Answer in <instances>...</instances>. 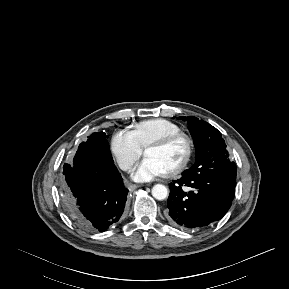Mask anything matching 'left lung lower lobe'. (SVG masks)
<instances>
[{
  "instance_id": "left-lung-lower-lobe-1",
  "label": "left lung lower lobe",
  "mask_w": 289,
  "mask_h": 289,
  "mask_svg": "<svg viewBox=\"0 0 289 289\" xmlns=\"http://www.w3.org/2000/svg\"><path fill=\"white\" fill-rule=\"evenodd\" d=\"M188 186L192 191L184 192ZM236 180L224 173L184 175L169 184L167 220L183 229L206 227L220 220L229 210Z\"/></svg>"
}]
</instances>
